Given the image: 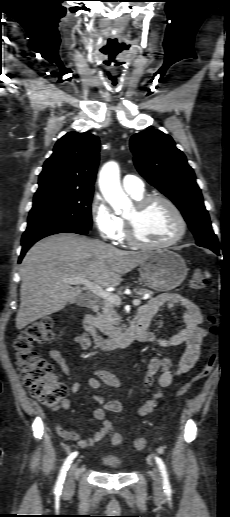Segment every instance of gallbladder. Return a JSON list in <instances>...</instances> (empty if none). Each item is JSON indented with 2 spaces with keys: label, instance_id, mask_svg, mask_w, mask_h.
Masks as SVG:
<instances>
[{
  "label": "gallbladder",
  "instance_id": "obj_1",
  "mask_svg": "<svg viewBox=\"0 0 230 517\" xmlns=\"http://www.w3.org/2000/svg\"><path fill=\"white\" fill-rule=\"evenodd\" d=\"M84 303H85V300H84L83 298H80V299L78 300V304H79V305H83Z\"/></svg>",
  "mask_w": 230,
  "mask_h": 517
}]
</instances>
